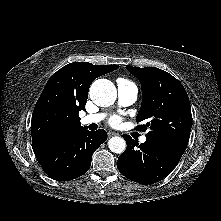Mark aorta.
Masks as SVG:
<instances>
[{
	"mask_svg": "<svg viewBox=\"0 0 221 221\" xmlns=\"http://www.w3.org/2000/svg\"><path fill=\"white\" fill-rule=\"evenodd\" d=\"M90 98L98 106L108 107L114 104L117 92L115 85L107 79L95 80L90 87ZM109 149L114 153H123L126 149V142L122 137H112L108 141Z\"/></svg>",
	"mask_w": 221,
	"mask_h": 221,
	"instance_id": "obj_1",
	"label": "aorta"
}]
</instances>
